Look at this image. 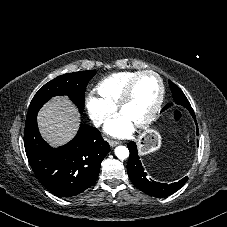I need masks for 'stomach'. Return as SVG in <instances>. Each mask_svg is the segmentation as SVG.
I'll use <instances>...</instances> for the list:
<instances>
[{
    "label": "stomach",
    "instance_id": "obj_1",
    "mask_svg": "<svg viewBox=\"0 0 227 227\" xmlns=\"http://www.w3.org/2000/svg\"><path fill=\"white\" fill-rule=\"evenodd\" d=\"M161 146V135L154 129H149L138 138V149L141 155L158 150Z\"/></svg>",
    "mask_w": 227,
    "mask_h": 227
}]
</instances>
